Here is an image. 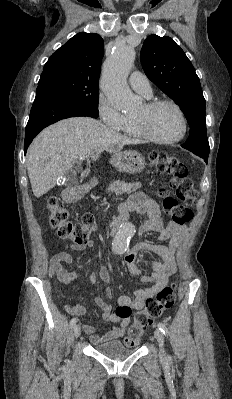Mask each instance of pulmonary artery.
Returning <instances> with one entry per match:
<instances>
[{
	"label": "pulmonary artery",
	"mask_w": 232,
	"mask_h": 399,
	"mask_svg": "<svg viewBox=\"0 0 232 399\" xmlns=\"http://www.w3.org/2000/svg\"><path fill=\"white\" fill-rule=\"evenodd\" d=\"M146 80V73H140L139 69H132L130 84L136 89V96H151V83Z\"/></svg>",
	"instance_id": "e3ab8cb5"
}]
</instances>
